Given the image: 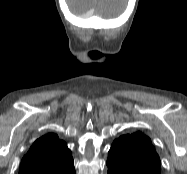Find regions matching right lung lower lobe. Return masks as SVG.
<instances>
[{
    "label": "right lung lower lobe",
    "mask_w": 187,
    "mask_h": 174,
    "mask_svg": "<svg viewBox=\"0 0 187 174\" xmlns=\"http://www.w3.org/2000/svg\"><path fill=\"white\" fill-rule=\"evenodd\" d=\"M70 174H75V171H74V172H72V173H70Z\"/></svg>",
    "instance_id": "right-lung-lower-lobe-1"
}]
</instances>
